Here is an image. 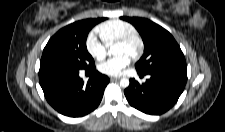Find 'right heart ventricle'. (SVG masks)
<instances>
[{
    "label": "right heart ventricle",
    "instance_id": "e07e8e85",
    "mask_svg": "<svg viewBox=\"0 0 225 132\" xmlns=\"http://www.w3.org/2000/svg\"><path fill=\"white\" fill-rule=\"evenodd\" d=\"M97 32L106 46H112L122 37L137 32L134 25L123 20H110L97 27Z\"/></svg>",
    "mask_w": 225,
    "mask_h": 132
}]
</instances>
